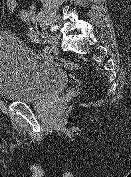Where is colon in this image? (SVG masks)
<instances>
[{"instance_id":"colon-1","label":"colon","mask_w":131,"mask_h":177,"mask_svg":"<svg viewBox=\"0 0 131 177\" xmlns=\"http://www.w3.org/2000/svg\"><path fill=\"white\" fill-rule=\"evenodd\" d=\"M1 1L3 13L10 19L12 23H16V19L18 17L19 12V1L18 0H1ZM37 53L50 63L60 66L64 69L72 71L80 70V66L74 62L54 57L51 55L42 54L40 52Z\"/></svg>"}]
</instances>
